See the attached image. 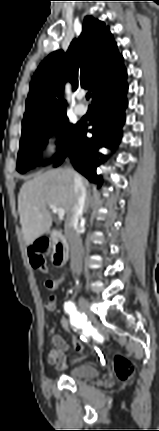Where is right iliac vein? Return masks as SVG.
<instances>
[{
  "label": "right iliac vein",
  "instance_id": "63e3f726",
  "mask_svg": "<svg viewBox=\"0 0 159 431\" xmlns=\"http://www.w3.org/2000/svg\"><path fill=\"white\" fill-rule=\"evenodd\" d=\"M78 303H79V307H80L81 311L83 313H85L92 322H95L96 319H95V316L93 315V313L90 311V305H89L88 300L86 298H84L83 296H80L78 299Z\"/></svg>",
  "mask_w": 159,
  "mask_h": 431
}]
</instances>
